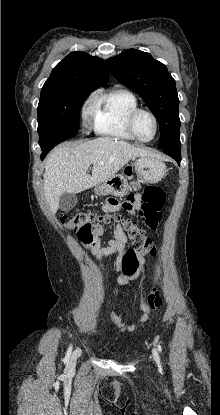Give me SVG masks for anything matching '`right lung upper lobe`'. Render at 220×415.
<instances>
[{"label":"right lung upper lobe","mask_w":220,"mask_h":415,"mask_svg":"<svg viewBox=\"0 0 220 415\" xmlns=\"http://www.w3.org/2000/svg\"><path fill=\"white\" fill-rule=\"evenodd\" d=\"M109 79L106 64L82 51L67 55L52 70L43 88H69L94 91Z\"/></svg>","instance_id":"cb5924a9"}]
</instances>
